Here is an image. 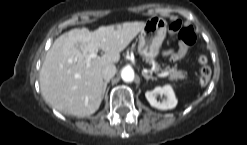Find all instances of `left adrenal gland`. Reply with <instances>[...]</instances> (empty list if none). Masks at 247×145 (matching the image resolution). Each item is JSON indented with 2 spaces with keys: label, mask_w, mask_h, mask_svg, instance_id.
<instances>
[{
  "label": "left adrenal gland",
  "mask_w": 247,
  "mask_h": 145,
  "mask_svg": "<svg viewBox=\"0 0 247 145\" xmlns=\"http://www.w3.org/2000/svg\"><path fill=\"white\" fill-rule=\"evenodd\" d=\"M142 75L143 77L148 81L149 79L151 80H156V78H154L153 76L151 75H148L147 73H145L144 71H142Z\"/></svg>",
  "instance_id": "left-adrenal-gland-1"
}]
</instances>
